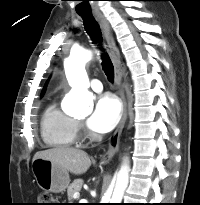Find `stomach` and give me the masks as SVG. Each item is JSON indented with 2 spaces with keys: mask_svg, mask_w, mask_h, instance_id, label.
Wrapping results in <instances>:
<instances>
[{
  "mask_svg": "<svg viewBox=\"0 0 200 205\" xmlns=\"http://www.w3.org/2000/svg\"><path fill=\"white\" fill-rule=\"evenodd\" d=\"M32 172L39 187L45 191L60 193L65 191L70 183L68 171L50 160H33Z\"/></svg>",
  "mask_w": 200,
  "mask_h": 205,
  "instance_id": "1",
  "label": "stomach"
}]
</instances>
